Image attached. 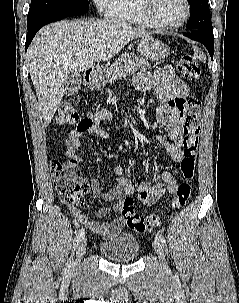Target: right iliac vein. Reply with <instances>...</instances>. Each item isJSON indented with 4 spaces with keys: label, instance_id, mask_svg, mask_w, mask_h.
Listing matches in <instances>:
<instances>
[{
    "label": "right iliac vein",
    "instance_id": "obj_1",
    "mask_svg": "<svg viewBox=\"0 0 239 303\" xmlns=\"http://www.w3.org/2000/svg\"><path fill=\"white\" fill-rule=\"evenodd\" d=\"M86 247H87V238H83L79 244L78 250H77V255L75 262L73 264V269L75 270L81 263L82 258L85 255L86 252Z\"/></svg>",
    "mask_w": 239,
    "mask_h": 303
}]
</instances>
